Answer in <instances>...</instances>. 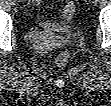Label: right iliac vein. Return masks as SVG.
Listing matches in <instances>:
<instances>
[{
  "instance_id": "1",
  "label": "right iliac vein",
  "mask_w": 111,
  "mask_h": 106,
  "mask_svg": "<svg viewBox=\"0 0 111 106\" xmlns=\"http://www.w3.org/2000/svg\"><path fill=\"white\" fill-rule=\"evenodd\" d=\"M11 2V5H15L16 4V1L15 0H12L10 1Z\"/></svg>"
}]
</instances>
